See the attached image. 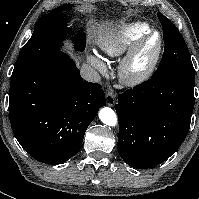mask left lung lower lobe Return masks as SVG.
<instances>
[{"mask_svg": "<svg viewBox=\"0 0 199 199\" xmlns=\"http://www.w3.org/2000/svg\"><path fill=\"white\" fill-rule=\"evenodd\" d=\"M195 76L169 74L118 95V152L130 166L151 168L183 143L194 109Z\"/></svg>", "mask_w": 199, "mask_h": 199, "instance_id": "obj_1", "label": "left lung lower lobe"}]
</instances>
